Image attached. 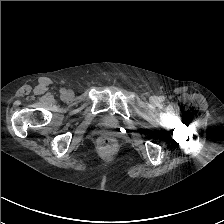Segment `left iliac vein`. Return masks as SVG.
Returning <instances> with one entry per match:
<instances>
[{"label": "left iliac vein", "instance_id": "4c4485c4", "mask_svg": "<svg viewBox=\"0 0 224 224\" xmlns=\"http://www.w3.org/2000/svg\"><path fill=\"white\" fill-rule=\"evenodd\" d=\"M153 102H157V98L156 97L153 99Z\"/></svg>", "mask_w": 224, "mask_h": 224}]
</instances>
